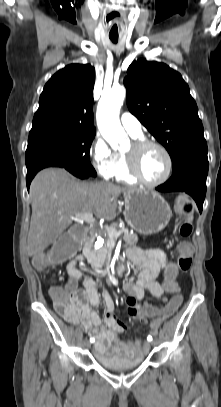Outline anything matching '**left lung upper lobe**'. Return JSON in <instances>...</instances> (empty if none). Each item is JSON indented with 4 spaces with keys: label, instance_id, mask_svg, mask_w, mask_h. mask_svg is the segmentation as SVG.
Masks as SVG:
<instances>
[{
    "label": "left lung upper lobe",
    "instance_id": "left-lung-upper-lobe-1",
    "mask_svg": "<svg viewBox=\"0 0 221 407\" xmlns=\"http://www.w3.org/2000/svg\"><path fill=\"white\" fill-rule=\"evenodd\" d=\"M129 111L167 149L173 167L207 151L196 102L182 76L164 63L134 61L124 79Z\"/></svg>",
    "mask_w": 221,
    "mask_h": 407
}]
</instances>
